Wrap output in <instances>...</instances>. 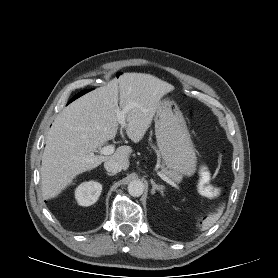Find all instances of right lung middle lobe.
<instances>
[{"label":"right lung middle lobe","mask_w":278,"mask_h":278,"mask_svg":"<svg viewBox=\"0 0 278 278\" xmlns=\"http://www.w3.org/2000/svg\"><path fill=\"white\" fill-rule=\"evenodd\" d=\"M89 90H84V91H81L82 92V94H84V93H86V92H88Z\"/></svg>","instance_id":"right-lung-middle-lobe-1"}]
</instances>
